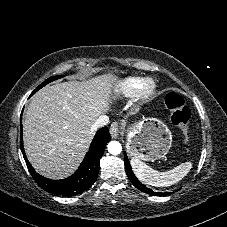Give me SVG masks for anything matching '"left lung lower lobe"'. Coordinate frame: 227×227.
<instances>
[{
    "label": "left lung lower lobe",
    "mask_w": 227,
    "mask_h": 227,
    "mask_svg": "<svg viewBox=\"0 0 227 227\" xmlns=\"http://www.w3.org/2000/svg\"><path fill=\"white\" fill-rule=\"evenodd\" d=\"M125 157V160H124V163H125V170H126V173L128 175V178L129 180L132 182V184L138 188L139 190L147 193V194H150V195H158V196H165V195H169L171 193H157V192H154L152 191L151 189L147 188L144 184H142L138 179L137 177L134 175L132 169H131V166H130V163H129V160H128V157L127 155L125 154L124 155Z\"/></svg>",
    "instance_id": "0a47b994"
}]
</instances>
